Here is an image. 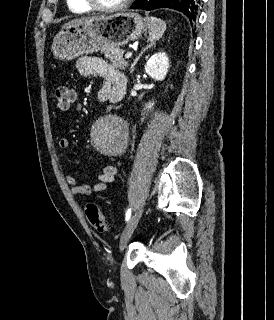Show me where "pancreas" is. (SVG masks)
Instances as JSON below:
<instances>
[{
  "label": "pancreas",
  "instance_id": "1",
  "mask_svg": "<svg viewBox=\"0 0 274 320\" xmlns=\"http://www.w3.org/2000/svg\"><path fill=\"white\" fill-rule=\"evenodd\" d=\"M124 52L125 50H120V48H106V50H103L102 54H104L107 60H110L112 66L119 68V70H125L128 66V62L123 58Z\"/></svg>",
  "mask_w": 274,
  "mask_h": 320
}]
</instances>
